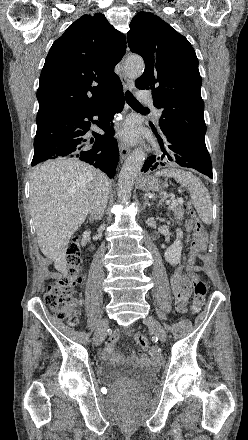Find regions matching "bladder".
I'll return each instance as SVG.
<instances>
[{"instance_id": "31cf9c89", "label": "bladder", "mask_w": 248, "mask_h": 440, "mask_svg": "<svg viewBox=\"0 0 248 440\" xmlns=\"http://www.w3.org/2000/svg\"><path fill=\"white\" fill-rule=\"evenodd\" d=\"M98 378L117 391H141L153 385L154 370L129 364L103 362L97 366Z\"/></svg>"}]
</instances>
